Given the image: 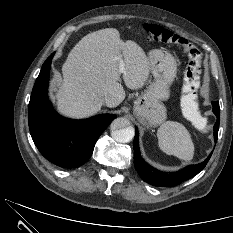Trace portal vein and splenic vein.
<instances>
[{"label": "portal vein and splenic vein", "instance_id": "portal-vein-and-splenic-vein-1", "mask_svg": "<svg viewBox=\"0 0 233 233\" xmlns=\"http://www.w3.org/2000/svg\"><path fill=\"white\" fill-rule=\"evenodd\" d=\"M118 59H119V72L120 73H125V64H124V61H123V59H122L121 56Z\"/></svg>", "mask_w": 233, "mask_h": 233}]
</instances>
